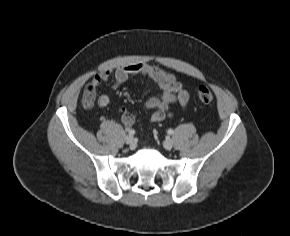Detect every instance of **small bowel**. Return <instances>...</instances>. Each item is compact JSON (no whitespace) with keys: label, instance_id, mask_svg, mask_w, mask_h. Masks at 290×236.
Returning a JSON list of instances; mask_svg holds the SVG:
<instances>
[{"label":"small bowel","instance_id":"1","mask_svg":"<svg viewBox=\"0 0 290 236\" xmlns=\"http://www.w3.org/2000/svg\"><path fill=\"white\" fill-rule=\"evenodd\" d=\"M132 76H142L149 79L156 87L157 92L148 99L145 106L152 110L150 120L160 122L170 115L169 107L173 103L179 104L182 108L189 102V95L171 73L153 65L143 63H132L121 66L115 70L107 69L95 75L91 85L97 89L100 84L107 82L113 77L111 90H117ZM110 103L108 95H100L97 99V106L104 108ZM121 120L125 125H132L135 122L132 113L120 109Z\"/></svg>","mask_w":290,"mask_h":236}]
</instances>
